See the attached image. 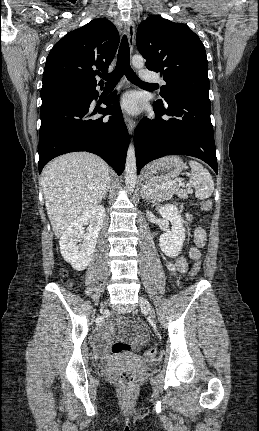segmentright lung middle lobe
Masks as SVG:
<instances>
[{"instance_id":"dd1d6c3e","label":"right lung middle lobe","mask_w":259,"mask_h":431,"mask_svg":"<svg viewBox=\"0 0 259 431\" xmlns=\"http://www.w3.org/2000/svg\"><path fill=\"white\" fill-rule=\"evenodd\" d=\"M83 89H76L69 86L59 85L52 86L46 89L41 90V98H46L61 92H69V91H82Z\"/></svg>"}]
</instances>
